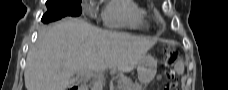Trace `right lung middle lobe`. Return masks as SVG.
<instances>
[{
	"label": "right lung middle lobe",
	"instance_id": "1",
	"mask_svg": "<svg viewBox=\"0 0 228 90\" xmlns=\"http://www.w3.org/2000/svg\"><path fill=\"white\" fill-rule=\"evenodd\" d=\"M46 6L53 16H79L81 0H47Z\"/></svg>",
	"mask_w": 228,
	"mask_h": 90
}]
</instances>
